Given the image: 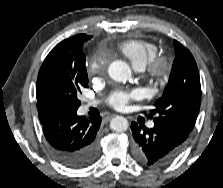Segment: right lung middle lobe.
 I'll return each instance as SVG.
<instances>
[{
	"label": "right lung middle lobe",
	"mask_w": 223,
	"mask_h": 188,
	"mask_svg": "<svg viewBox=\"0 0 223 188\" xmlns=\"http://www.w3.org/2000/svg\"><path fill=\"white\" fill-rule=\"evenodd\" d=\"M83 43L78 46L74 67L69 65L63 74L49 77L41 87V100L51 111H73L80 106L77 96L83 87H88Z\"/></svg>",
	"instance_id": "1"
}]
</instances>
